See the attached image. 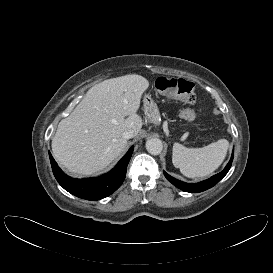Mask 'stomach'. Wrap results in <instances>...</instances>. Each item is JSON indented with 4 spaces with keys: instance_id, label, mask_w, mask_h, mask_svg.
Wrapping results in <instances>:
<instances>
[{
    "instance_id": "0dacf381",
    "label": "stomach",
    "mask_w": 273,
    "mask_h": 273,
    "mask_svg": "<svg viewBox=\"0 0 273 273\" xmlns=\"http://www.w3.org/2000/svg\"><path fill=\"white\" fill-rule=\"evenodd\" d=\"M154 87L160 93L168 95L174 87L172 78L166 76H158L154 80ZM144 112L148 120L154 124L160 123V112L157 104L152 99L151 95L147 94L143 98Z\"/></svg>"
}]
</instances>
